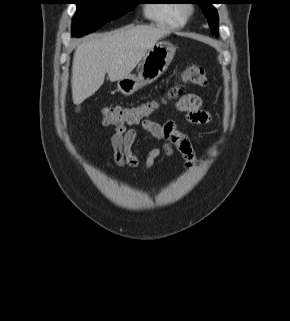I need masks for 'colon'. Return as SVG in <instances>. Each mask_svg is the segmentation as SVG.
Segmentation results:
<instances>
[{
	"label": "colon",
	"mask_w": 290,
	"mask_h": 321,
	"mask_svg": "<svg viewBox=\"0 0 290 321\" xmlns=\"http://www.w3.org/2000/svg\"><path fill=\"white\" fill-rule=\"evenodd\" d=\"M181 80L198 87H207L209 84L205 70L195 65L184 69ZM159 106V101L150 100L136 106L105 107L102 110L103 123L112 126L135 125L154 114Z\"/></svg>",
	"instance_id": "1"
}]
</instances>
